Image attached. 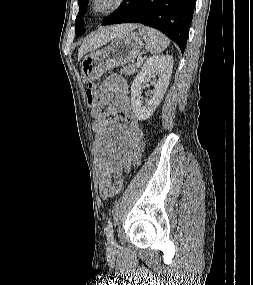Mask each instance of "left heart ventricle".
<instances>
[{
    "mask_svg": "<svg viewBox=\"0 0 253 285\" xmlns=\"http://www.w3.org/2000/svg\"><path fill=\"white\" fill-rule=\"evenodd\" d=\"M110 0H102L101 5H105L107 3H109Z\"/></svg>",
    "mask_w": 253,
    "mask_h": 285,
    "instance_id": "b2bd125f",
    "label": "left heart ventricle"
}]
</instances>
